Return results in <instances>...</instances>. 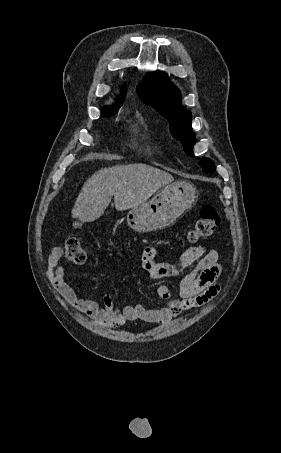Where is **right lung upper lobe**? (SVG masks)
I'll return each instance as SVG.
<instances>
[{
	"mask_svg": "<svg viewBox=\"0 0 281 453\" xmlns=\"http://www.w3.org/2000/svg\"><path fill=\"white\" fill-rule=\"evenodd\" d=\"M124 97H125V91H123L122 95L118 98V102H117V108L120 107L124 101ZM116 110H113L111 107H108V106H105L102 108L101 112H102V116H105L109 113H114Z\"/></svg>",
	"mask_w": 281,
	"mask_h": 453,
	"instance_id": "cb5924a9",
	"label": "right lung upper lobe"
}]
</instances>
